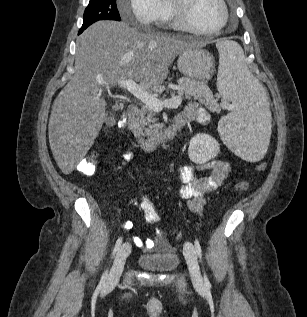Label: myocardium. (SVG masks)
Listing matches in <instances>:
<instances>
[{
	"label": "myocardium",
	"instance_id": "1",
	"mask_svg": "<svg viewBox=\"0 0 307 317\" xmlns=\"http://www.w3.org/2000/svg\"><path fill=\"white\" fill-rule=\"evenodd\" d=\"M192 2L193 0H169L174 22L179 28L196 35L211 36L217 34L226 26L229 19V9L225 0H218L223 16L220 24L212 30H200L193 25L189 17Z\"/></svg>",
	"mask_w": 307,
	"mask_h": 317
}]
</instances>
